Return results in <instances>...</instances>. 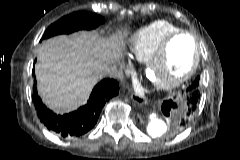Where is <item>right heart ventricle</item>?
Here are the masks:
<instances>
[{
  "label": "right heart ventricle",
  "instance_id": "1",
  "mask_svg": "<svg viewBox=\"0 0 240 160\" xmlns=\"http://www.w3.org/2000/svg\"><path fill=\"white\" fill-rule=\"evenodd\" d=\"M179 30L166 20L154 21L139 28L128 41L131 56L140 62L147 61L167 36Z\"/></svg>",
  "mask_w": 240,
  "mask_h": 160
}]
</instances>
